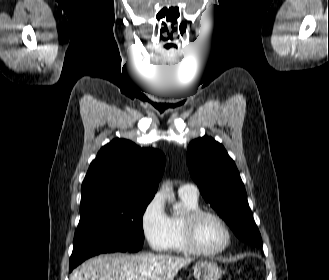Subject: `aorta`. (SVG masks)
<instances>
[{"instance_id":"obj_1","label":"aorta","mask_w":329,"mask_h":280,"mask_svg":"<svg viewBox=\"0 0 329 280\" xmlns=\"http://www.w3.org/2000/svg\"><path fill=\"white\" fill-rule=\"evenodd\" d=\"M168 200L173 202V200H174V196H170V195H168ZM173 208L176 209V210H178V209L180 208V206L177 205V204H174V205H173Z\"/></svg>"}]
</instances>
